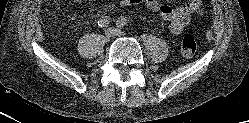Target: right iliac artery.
<instances>
[{
  "label": "right iliac artery",
  "instance_id": "82829eb1",
  "mask_svg": "<svg viewBox=\"0 0 249 123\" xmlns=\"http://www.w3.org/2000/svg\"><path fill=\"white\" fill-rule=\"evenodd\" d=\"M109 23H110V18L108 16H102L98 20V26L99 27H106V26H108Z\"/></svg>",
  "mask_w": 249,
  "mask_h": 123
}]
</instances>
